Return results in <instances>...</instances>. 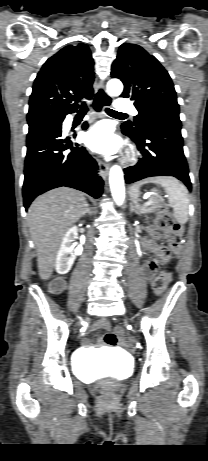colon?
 <instances>
[{"label": "colon", "instance_id": "colon-1", "mask_svg": "<svg viewBox=\"0 0 208 461\" xmlns=\"http://www.w3.org/2000/svg\"><path fill=\"white\" fill-rule=\"evenodd\" d=\"M155 223L158 228L164 230L167 233L168 237V244L166 246H163L157 253V255L147 262L149 267H152L156 270L158 267L165 265L171 258L172 252L179 247L181 227L174 220L170 213L164 211L160 212L156 216ZM170 281L171 276L168 272L160 273L159 275H157L153 282L154 291L157 294H162L166 290ZM52 287L53 289L58 290L60 289L61 285L58 283H54ZM115 332L118 333V336H120L122 341L124 339L123 331L120 328H116ZM110 391L111 388L109 386H103L101 389V394L103 396H108L110 394Z\"/></svg>", "mask_w": 208, "mask_h": 461}]
</instances>
